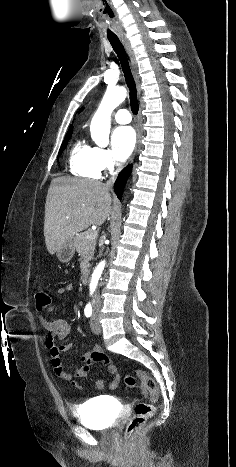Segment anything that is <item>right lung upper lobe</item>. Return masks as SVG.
Segmentation results:
<instances>
[{
    "label": "right lung upper lobe",
    "mask_w": 236,
    "mask_h": 467,
    "mask_svg": "<svg viewBox=\"0 0 236 467\" xmlns=\"http://www.w3.org/2000/svg\"><path fill=\"white\" fill-rule=\"evenodd\" d=\"M72 131H73V126L71 125V126L69 127V130H68L67 134L72 133Z\"/></svg>",
    "instance_id": "obj_1"
}]
</instances>
